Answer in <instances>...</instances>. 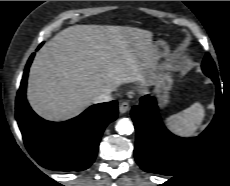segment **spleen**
<instances>
[{
	"label": "spleen",
	"instance_id": "spleen-1",
	"mask_svg": "<svg viewBox=\"0 0 230 186\" xmlns=\"http://www.w3.org/2000/svg\"><path fill=\"white\" fill-rule=\"evenodd\" d=\"M205 116L203 106L195 102L189 108L166 118L167 126L176 134L193 135Z\"/></svg>",
	"mask_w": 230,
	"mask_h": 186
}]
</instances>
